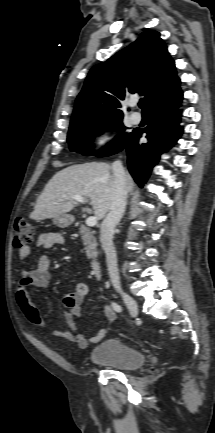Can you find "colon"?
<instances>
[{"label":"colon","mask_w":215,"mask_h":433,"mask_svg":"<svg viewBox=\"0 0 215 433\" xmlns=\"http://www.w3.org/2000/svg\"><path fill=\"white\" fill-rule=\"evenodd\" d=\"M14 241L13 244L16 248H22L29 244L34 235V230L31 222L24 216H19L14 222Z\"/></svg>","instance_id":"5ec220e1"}]
</instances>
